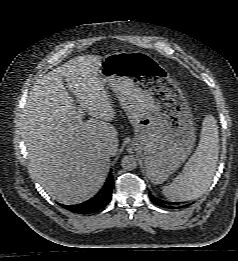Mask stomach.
Returning <instances> with one entry per match:
<instances>
[{
  "instance_id": "obj_1",
  "label": "stomach",
  "mask_w": 238,
  "mask_h": 261,
  "mask_svg": "<svg viewBox=\"0 0 238 261\" xmlns=\"http://www.w3.org/2000/svg\"><path fill=\"white\" fill-rule=\"evenodd\" d=\"M103 82L111 87L134 127L132 146L144 159L153 184H161L190 155L195 143L192 114L168 73L142 54L103 58Z\"/></svg>"
}]
</instances>
